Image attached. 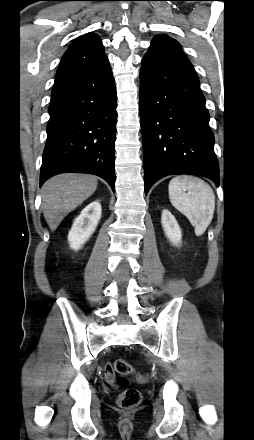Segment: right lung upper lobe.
Wrapping results in <instances>:
<instances>
[{
	"label": "right lung upper lobe",
	"instance_id": "obj_1",
	"mask_svg": "<svg viewBox=\"0 0 254 440\" xmlns=\"http://www.w3.org/2000/svg\"><path fill=\"white\" fill-rule=\"evenodd\" d=\"M108 61L98 35L87 33L78 37L64 53L55 81H60L106 64Z\"/></svg>",
	"mask_w": 254,
	"mask_h": 440
}]
</instances>
